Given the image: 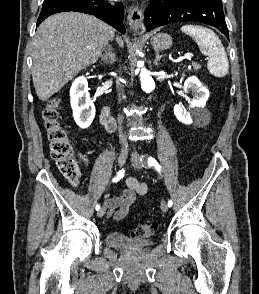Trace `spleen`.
<instances>
[{"label":"spleen","instance_id":"obj_1","mask_svg":"<svg viewBox=\"0 0 259 294\" xmlns=\"http://www.w3.org/2000/svg\"><path fill=\"white\" fill-rule=\"evenodd\" d=\"M181 31L191 36L200 51L208 56L207 67L212 75L221 78L228 73L229 62L226 51L219 37L211 29L197 25H184Z\"/></svg>","mask_w":259,"mask_h":294}]
</instances>
